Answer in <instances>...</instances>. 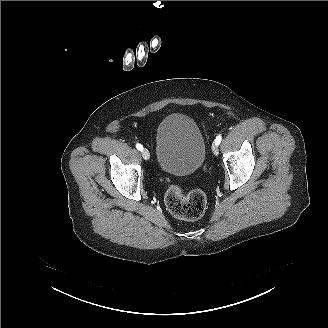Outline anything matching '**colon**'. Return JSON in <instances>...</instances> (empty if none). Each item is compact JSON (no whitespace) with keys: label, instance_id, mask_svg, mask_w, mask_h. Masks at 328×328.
<instances>
[{"label":"colon","instance_id":"1","mask_svg":"<svg viewBox=\"0 0 328 328\" xmlns=\"http://www.w3.org/2000/svg\"><path fill=\"white\" fill-rule=\"evenodd\" d=\"M165 204L174 217L193 221L205 213L207 198L200 189L185 191L179 185H172L166 191Z\"/></svg>","mask_w":328,"mask_h":328}]
</instances>
